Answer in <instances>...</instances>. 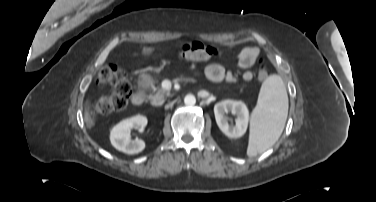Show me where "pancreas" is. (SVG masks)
I'll return each instance as SVG.
<instances>
[{
	"label": "pancreas",
	"instance_id": "obj_1",
	"mask_svg": "<svg viewBox=\"0 0 376 202\" xmlns=\"http://www.w3.org/2000/svg\"><path fill=\"white\" fill-rule=\"evenodd\" d=\"M151 83L153 81H150ZM170 95V92L165 90L162 87H157L155 89V93L152 95H149V100L152 105H162L165 101V98Z\"/></svg>",
	"mask_w": 376,
	"mask_h": 202
}]
</instances>
